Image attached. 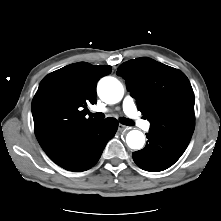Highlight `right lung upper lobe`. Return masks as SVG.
Listing matches in <instances>:
<instances>
[{"label":"right lung upper lobe","mask_w":221,"mask_h":221,"mask_svg":"<svg viewBox=\"0 0 221 221\" xmlns=\"http://www.w3.org/2000/svg\"><path fill=\"white\" fill-rule=\"evenodd\" d=\"M111 66L78 62L48 74L32 101L35 135L48 153L71 133L96 122L89 117L88 104H95L96 84Z\"/></svg>","instance_id":"cb5924a9"}]
</instances>
